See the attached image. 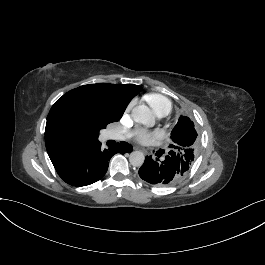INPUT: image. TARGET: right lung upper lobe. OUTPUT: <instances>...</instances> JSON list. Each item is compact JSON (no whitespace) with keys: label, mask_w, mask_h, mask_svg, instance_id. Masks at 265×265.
<instances>
[{"label":"right lung upper lobe","mask_w":265,"mask_h":265,"mask_svg":"<svg viewBox=\"0 0 265 265\" xmlns=\"http://www.w3.org/2000/svg\"><path fill=\"white\" fill-rule=\"evenodd\" d=\"M142 87L134 84L114 85L107 83L88 84L69 92H94L113 95L122 100L125 105L136 96ZM98 141V136L93 133L71 134L56 127L53 118V109L50 110L45 128V144L52 163L57 162L70 151Z\"/></svg>","instance_id":"cb5924a9"}]
</instances>
